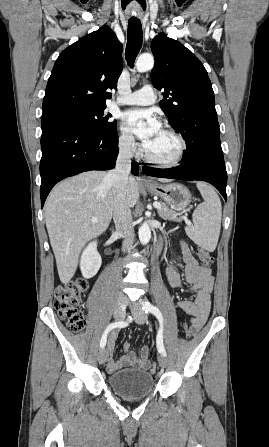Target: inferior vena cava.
Returning <instances> with one entry per match:
<instances>
[{
	"instance_id": "602c4592",
	"label": "inferior vena cava",
	"mask_w": 269,
	"mask_h": 447,
	"mask_svg": "<svg viewBox=\"0 0 269 447\" xmlns=\"http://www.w3.org/2000/svg\"><path fill=\"white\" fill-rule=\"evenodd\" d=\"M133 140L128 144H119V154L116 160V168L110 170L105 180L112 182V192L114 198L113 220L116 227V233L125 237L123 241V251L132 243L133 220L131 210L127 204V184L128 176L131 170Z\"/></svg>"
}]
</instances>
